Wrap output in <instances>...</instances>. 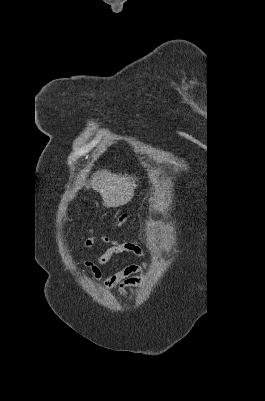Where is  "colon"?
<instances>
[{
  "instance_id": "1",
  "label": "colon",
  "mask_w": 265,
  "mask_h": 401,
  "mask_svg": "<svg viewBox=\"0 0 265 401\" xmlns=\"http://www.w3.org/2000/svg\"><path fill=\"white\" fill-rule=\"evenodd\" d=\"M126 214H122V215H120L118 218H117V222L119 223V224H123V223H125L126 222Z\"/></svg>"
}]
</instances>
